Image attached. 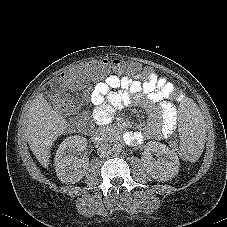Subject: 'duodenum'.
<instances>
[{"instance_id":"duodenum-1","label":"duodenum","mask_w":227,"mask_h":227,"mask_svg":"<svg viewBox=\"0 0 227 227\" xmlns=\"http://www.w3.org/2000/svg\"><path fill=\"white\" fill-rule=\"evenodd\" d=\"M110 138L109 134L104 131H95L92 133V139L96 143H101Z\"/></svg>"}]
</instances>
